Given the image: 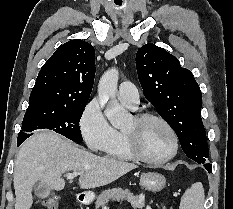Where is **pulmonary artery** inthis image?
<instances>
[{
	"mask_svg": "<svg viewBox=\"0 0 233 209\" xmlns=\"http://www.w3.org/2000/svg\"><path fill=\"white\" fill-rule=\"evenodd\" d=\"M117 96L121 102L133 109H135L139 103L138 90L136 86L129 81H124L120 84Z\"/></svg>",
	"mask_w": 233,
	"mask_h": 209,
	"instance_id": "pulmonary-artery-1",
	"label": "pulmonary artery"
}]
</instances>
